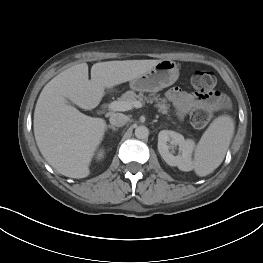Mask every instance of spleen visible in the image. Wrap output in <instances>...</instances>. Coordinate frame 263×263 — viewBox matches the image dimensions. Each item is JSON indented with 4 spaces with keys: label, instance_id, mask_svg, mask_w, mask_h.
<instances>
[{
    "label": "spleen",
    "instance_id": "spleen-1",
    "mask_svg": "<svg viewBox=\"0 0 263 263\" xmlns=\"http://www.w3.org/2000/svg\"><path fill=\"white\" fill-rule=\"evenodd\" d=\"M234 133L230 116L216 118L202 135L194 153L193 168L202 177L214 171L223 161Z\"/></svg>",
    "mask_w": 263,
    "mask_h": 263
}]
</instances>
